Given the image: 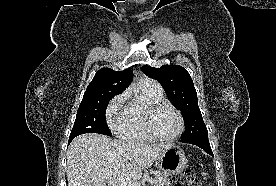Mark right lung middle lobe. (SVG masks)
<instances>
[{
    "label": "right lung middle lobe",
    "mask_w": 276,
    "mask_h": 186,
    "mask_svg": "<svg viewBox=\"0 0 276 186\" xmlns=\"http://www.w3.org/2000/svg\"><path fill=\"white\" fill-rule=\"evenodd\" d=\"M119 93L111 91L85 92L78 108L70 138L84 133H100L111 136L105 111L109 101Z\"/></svg>",
    "instance_id": "right-lung-middle-lobe-1"
}]
</instances>
